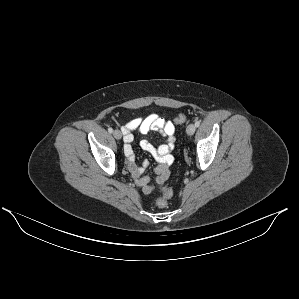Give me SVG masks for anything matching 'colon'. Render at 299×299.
I'll return each instance as SVG.
<instances>
[{"mask_svg": "<svg viewBox=\"0 0 299 299\" xmlns=\"http://www.w3.org/2000/svg\"><path fill=\"white\" fill-rule=\"evenodd\" d=\"M186 121V116L184 114H180L176 117L175 123L182 124ZM162 197L157 200V205L159 208H166L168 205V199L171 198L173 191L170 187L164 186L162 187Z\"/></svg>", "mask_w": 299, "mask_h": 299, "instance_id": "obj_1", "label": "colon"}]
</instances>
